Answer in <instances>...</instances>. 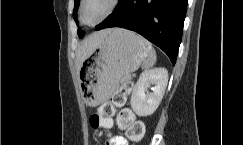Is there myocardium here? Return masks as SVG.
Listing matches in <instances>:
<instances>
[{"label":"myocardium","mask_w":243,"mask_h":145,"mask_svg":"<svg viewBox=\"0 0 243 145\" xmlns=\"http://www.w3.org/2000/svg\"><path fill=\"white\" fill-rule=\"evenodd\" d=\"M87 2V0H81L80 2V8H79V21L81 24L88 26V27H94L98 24H100L101 22H103L105 19H107L110 15H112L120 6L121 4V0H110L109 1V6L106 9V11L99 17V19H97L94 23L91 24H87L84 22L83 20V10H84V6L85 3Z\"/></svg>","instance_id":"obj_1"}]
</instances>
